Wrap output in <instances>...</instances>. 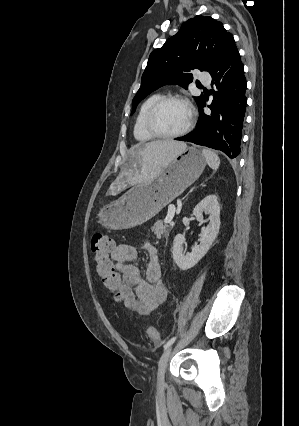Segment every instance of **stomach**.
Segmentation results:
<instances>
[{"instance_id": "1", "label": "stomach", "mask_w": 299, "mask_h": 426, "mask_svg": "<svg viewBox=\"0 0 299 426\" xmlns=\"http://www.w3.org/2000/svg\"><path fill=\"white\" fill-rule=\"evenodd\" d=\"M205 165L201 151L186 148L155 179L135 185L101 208L99 223L108 229L122 230L150 220L197 180Z\"/></svg>"}]
</instances>
